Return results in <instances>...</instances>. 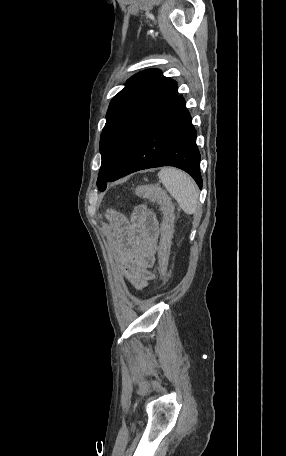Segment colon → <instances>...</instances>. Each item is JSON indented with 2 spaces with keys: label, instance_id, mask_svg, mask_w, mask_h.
Here are the masks:
<instances>
[{
  "label": "colon",
  "instance_id": "5ec220e1",
  "mask_svg": "<svg viewBox=\"0 0 286 456\" xmlns=\"http://www.w3.org/2000/svg\"><path fill=\"white\" fill-rule=\"evenodd\" d=\"M138 196L148 197L161 205L165 219L162 226V234L158 250V267L156 272L161 281H166L169 271V244L172 235L171 201L165 191L156 185H140L135 189Z\"/></svg>",
  "mask_w": 286,
  "mask_h": 456
}]
</instances>
